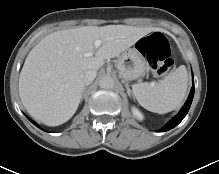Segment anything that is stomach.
I'll return each instance as SVG.
<instances>
[{"mask_svg":"<svg viewBox=\"0 0 219 174\" xmlns=\"http://www.w3.org/2000/svg\"><path fill=\"white\" fill-rule=\"evenodd\" d=\"M119 75L124 81H131L142 76L146 70V60L136 48L127 49L117 62Z\"/></svg>","mask_w":219,"mask_h":174,"instance_id":"0dacf381","label":"stomach"}]
</instances>
